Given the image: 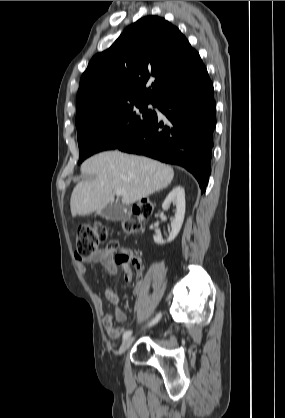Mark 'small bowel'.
Returning <instances> with one entry per match:
<instances>
[{"instance_id": "1", "label": "small bowel", "mask_w": 285, "mask_h": 418, "mask_svg": "<svg viewBox=\"0 0 285 418\" xmlns=\"http://www.w3.org/2000/svg\"><path fill=\"white\" fill-rule=\"evenodd\" d=\"M90 264H101L105 269L110 273L116 274L120 269L123 274L124 281L126 283H131L133 280V270L129 264L122 263L120 260L107 249L98 250L88 261ZM78 271L81 274L87 273V266L83 263L78 264ZM141 293V288L139 283H137L135 288V295L139 296ZM106 299L115 306L114 317L118 323H125L127 320L126 314L119 307V297L112 290H107L105 292ZM103 327L109 336V338L117 340L123 334V329L115 326L114 318L110 314H106L102 318Z\"/></svg>"}]
</instances>
